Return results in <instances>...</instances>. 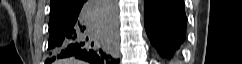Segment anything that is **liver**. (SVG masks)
<instances>
[{
  "label": "liver",
  "instance_id": "liver-1",
  "mask_svg": "<svg viewBox=\"0 0 242 64\" xmlns=\"http://www.w3.org/2000/svg\"><path fill=\"white\" fill-rule=\"evenodd\" d=\"M61 62H63L64 64H84L82 61L73 60V59L62 60Z\"/></svg>",
  "mask_w": 242,
  "mask_h": 64
}]
</instances>
